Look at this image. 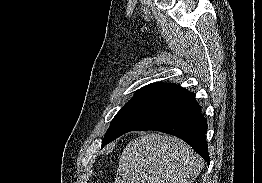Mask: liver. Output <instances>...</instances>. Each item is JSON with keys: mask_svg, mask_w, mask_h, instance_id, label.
<instances>
[{"mask_svg": "<svg viewBox=\"0 0 262 183\" xmlns=\"http://www.w3.org/2000/svg\"><path fill=\"white\" fill-rule=\"evenodd\" d=\"M203 166V159L179 138L145 134L124 148L115 183H192Z\"/></svg>", "mask_w": 262, "mask_h": 183, "instance_id": "6515ba94", "label": "liver"}]
</instances>
